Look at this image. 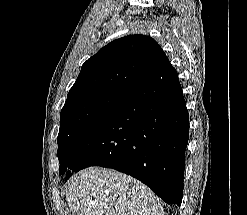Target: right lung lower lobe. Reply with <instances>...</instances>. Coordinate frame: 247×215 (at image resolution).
Instances as JSON below:
<instances>
[{
	"instance_id": "obj_1",
	"label": "right lung lower lobe",
	"mask_w": 247,
	"mask_h": 215,
	"mask_svg": "<svg viewBox=\"0 0 247 215\" xmlns=\"http://www.w3.org/2000/svg\"><path fill=\"white\" fill-rule=\"evenodd\" d=\"M189 114L169 60L75 145L66 172L89 166L116 169L149 186L168 204L181 205Z\"/></svg>"
}]
</instances>
